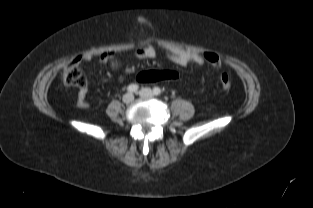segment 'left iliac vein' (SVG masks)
Listing matches in <instances>:
<instances>
[{"instance_id": "left-iliac-vein-1", "label": "left iliac vein", "mask_w": 313, "mask_h": 208, "mask_svg": "<svg viewBox=\"0 0 313 208\" xmlns=\"http://www.w3.org/2000/svg\"><path fill=\"white\" fill-rule=\"evenodd\" d=\"M138 94L141 96V97H144V98H153L154 97V93L151 89L149 88H143L141 89Z\"/></svg>"}]
</instances>
